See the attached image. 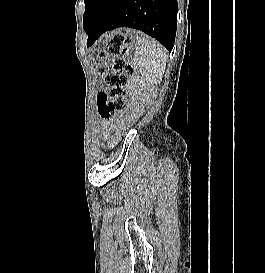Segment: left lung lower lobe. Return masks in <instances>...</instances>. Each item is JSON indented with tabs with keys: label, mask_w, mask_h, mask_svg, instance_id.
<instances>
[{
	"label": "left lung lower lobe",
	"mask_w": 265,
	"mask_h": 273,
	"mask_svg": "<svg viewBox=\"0 0 265 273\" xmlns=\"http://www.w3.org/2000/svg\"><path fill=\"white\" fill-rule=\"evenodd\" d=\"M84 30L91 46L118 27L136 28L172 50L177 28V0H88Z\"/></svg>",
	"instance_id": "1"
}]
</instances>
